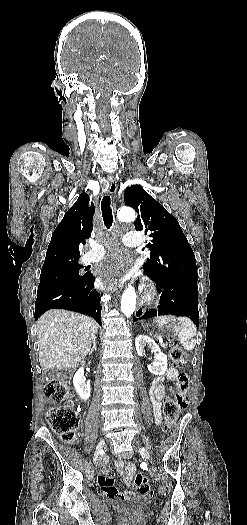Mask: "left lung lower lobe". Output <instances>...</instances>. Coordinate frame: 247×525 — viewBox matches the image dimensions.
I'll return each mask as SVG.
<instances>
[{"instance_id": "0a47b994", "label": "left lung lower lobe", "mask_w": 247, "mask_h": 525, "mask_svg": "<svg viewBox=\"0 0 247 525\" xmlns=\"http://www.w3.org/2000/svg\"><path fill=\"white\" fill-rule=\"evenodd\" d=\"M154 282L161 294L158 309L147 310L144 314L139 310L137 313L139 318H134L133 321L137 319H147L157 315H176L191 318L198 327L197 283L183 280H154Z\"/></svg>"}]
</instances>
